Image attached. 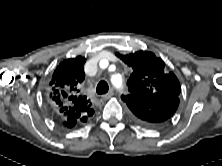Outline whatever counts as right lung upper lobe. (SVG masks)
<instances>
[{
	"instance_id": "cb5924a9",
	"label": "right lung upper lobe",
	"mask_w": 222,
	"mask_h": 166,
	"mask_svg": "<svg viewBox=\"0 0 222 166\" xmlns=\"http://www.w3.org/2000/svg\"><path fill=\"white\" fill-rule=\"evenodd\" d=\"M86 59L78 56L66 59L55 69L47 90V99L55 115L69 123L86 122L92 116L90 100L78 94L84 80Z\"/></svg>"
}]
</instances>
